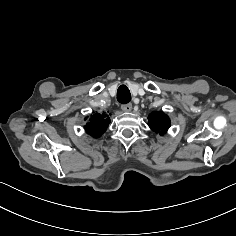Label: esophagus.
<instances>
[{"instance_id": "esophagus-1", "label": "esophagus", "mask_w": 236, "mask_h": 236, "mask_svg": "<svg viewBox=\"0 0 236 236\" xmlns=\"http://www.w3.org/2000/svg\"><path fill=\"white\" fill-rule=\"evenodd\" d=\"M121 109H122L124 112H130L131 109H132V104H130V103L123 104V105L121 106Z\"/></svg>"}]
</instances>
